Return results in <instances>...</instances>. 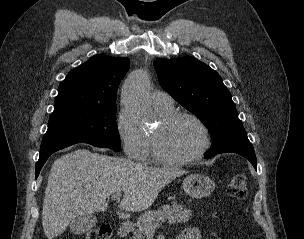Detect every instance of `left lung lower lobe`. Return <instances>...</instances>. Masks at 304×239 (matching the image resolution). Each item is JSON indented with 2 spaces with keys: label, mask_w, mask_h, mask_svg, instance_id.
I'll list each match as a JSON object with an SVG mask.
<instances>
[{
  "label": "left lung lower lobe",
  "mask_w": 304,
  "mask_h": 239,
  "mask_svg": "<svg viewBox=\"0 0 304 239\" xmlns=\"http://www.w3.org/2000/svg\"><path fill=\"white\" fill-rule=\"evenodd\" d=\"M233 153H237V154L245 157L246 159H248L251 162V164L253 165V167L257 170V161H256L255 152L233 151ZM214 155H216V154H207L206 158H211Z\"/></svg>",
  "instance_id": "left-lung-lower-lobe-1"
}]
</instances>
